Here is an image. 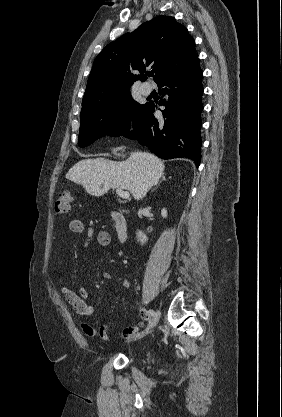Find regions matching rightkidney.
<instances>
[{
	"instance_id": "obj_1",
	"label": "right kidney",
	"mask_w": 282,
	"mask_h": 417,
	"mask_svg": "<svg viewBox=\"0 0 282 417\" xmlns=\"http://www.w3.org/2000/svg\"><path fill=\"white\" fill-rule=\"evenodd\" d=\"M161 215H162V217H164V219H166V217H167L166 209H162ZM137 239H138V241H140L141 245H144V243H146V241H148V237H146V235H144V233H142V231H138Z\"/></svg>"
}]
</instances>
